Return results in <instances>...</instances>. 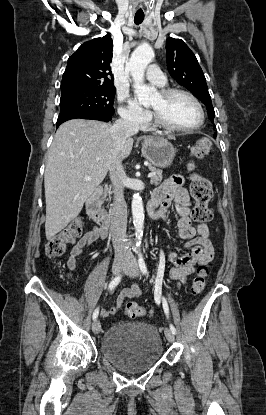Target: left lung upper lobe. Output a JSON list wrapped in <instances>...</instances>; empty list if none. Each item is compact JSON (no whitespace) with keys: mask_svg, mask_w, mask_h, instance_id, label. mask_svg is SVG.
<instances>
[{"mask_svg":"<svg viewBox=\"0 0 266 415\" xmlns=\"http://www.w3.org/2000/svg\"><path fill=\"white\" fill-rule=\"evenodd\" d=\"M166 60L168 72L171 76L206 105L209 119L213 122L215 112L206 79L194 53L183 40L168 38L166 41Z\"/></svg>","mask_w":266,"mask_h":415,"instance_id":"5c2ea615","label":"left lung upper lobe"}]
</instances>
